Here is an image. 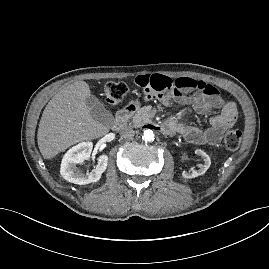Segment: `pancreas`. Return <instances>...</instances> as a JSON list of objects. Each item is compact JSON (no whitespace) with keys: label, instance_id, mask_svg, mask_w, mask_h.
<instances>
[{"label":"pancreas","instance_id":"1","mask_svg":"<svg viewBox=\"0 0 269 269\" xmlns=\"http://www.w3.org/2000/svg\"><path fill=\"white\" fill-rule=\"evenodd\" d=\"M152 117V110L149 107L140 108L136 114L129 120V125L133 127H141L149 122Z\"/></svg>","mask_w":269,"mask_h":269}]
</instances>
